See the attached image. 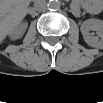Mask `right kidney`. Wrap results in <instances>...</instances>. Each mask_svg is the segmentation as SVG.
I'll use <instances>...</instances> for the list:
<instances>
[{"label": "right kidney", "instance_id": "1", "mask_svg": "<svg viewBox=\"0 0 103 103\" xmlns=\"http://www.w3.org/2000/svg\"><path fill=\"white\" fill-rule=\"evenodd\" d=\"M26 30V26L17 27L16 30L12 33V38L17 39L20 38Z\"/></svg>", "mask_w": 103, "mask_h": 103}]
</instances>
